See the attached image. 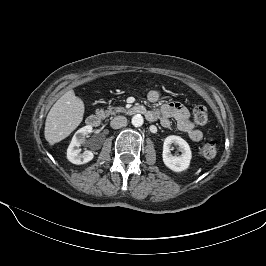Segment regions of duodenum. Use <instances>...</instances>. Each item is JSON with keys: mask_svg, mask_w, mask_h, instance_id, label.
I'll return each mask as SVG.
<instances>
[{"mask_svg": "<svg viewBox=\"0 0 266 266\" xmlns=\"http://www.w3.org/2000/svg\"><path fill=\"white\" fill-rule=\"evenodd\" d=\"M128 113L131 115H135V114L146 115L147 111L145 107L141 105H136V106L131 107L128 110ZM101 123H102L101 117L98 115L92 114L86 118V124L90 127L97 128L101 125Z\"/></svg>", "mask_w": 266, "mask_h": 266, "instance_id": "obj_1", "label": "duodenum"}]
</instances>
